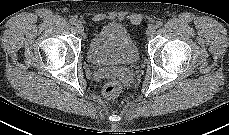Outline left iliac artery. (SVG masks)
<instances>
[{
    "mask_svg": "<svg viewBox=\"0 0 229 135\" xmlns=\"http://www.w3.org/2000/svg\"><path fill=\"white\" fill-rule=\"evenodd\" d=\"M161 26H162V22L161 21H157L156 27H161Z\"/></svg>",
    "mask_w": 229,
    "mask_h": 135,
    "instance_id": "left-iliac-artery-1",
    "label": "left iliac artery"
}]
</instances>
